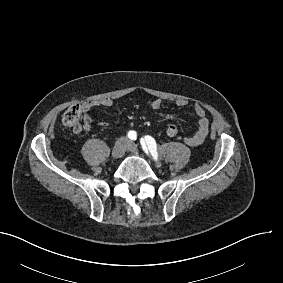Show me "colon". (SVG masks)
I'll use <instances>...</instances> for the list:
<instances>
[{
    "instance_id": "1",
    "label": "colon",
    "mask_w": 283,
    "mask_h": 283,
    "mask_svg": "<svg viewBox=\"0 0 283 283\" xmlns=\"http://www.w3.org/2000/svg\"><path fill=\"white\" fill-rule=\"evenodd\" d=\"M63 124L73 132H79L82 128V113L78 105L69 106L62 116ZM179 132V127L176 123H169L166 126L168 136H176Z\"/></svg>"
}]
</instances>
